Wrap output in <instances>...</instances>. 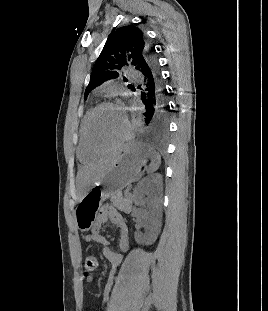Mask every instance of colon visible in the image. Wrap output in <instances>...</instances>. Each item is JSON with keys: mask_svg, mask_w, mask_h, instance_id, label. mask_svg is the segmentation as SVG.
I'll return each instance as SVG.
<instances>
[{"mask_svg": "<svg viewBox=\"0 0 268 311\" xmlns=\"http://www.w3.org/2000/svg\"><path fill=\"white\" fill-rule=\"evenodd\" d=\"M98 265L97 258L95 256H88L84 261V270L86 274L92 273Z\"/></svg>", "mask_w": 268, "mask_h": 311, "instance_id": "obj_1", "label": "colon"}]
</instances>
